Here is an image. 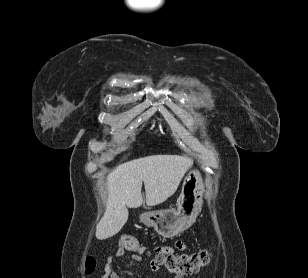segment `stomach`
Returning a JSON list of instances; mask_svg holds the SVG:
<instances>
[{
  "label": "stomach",
  "mask_w": 308,
  "mask_h": 278,
  "mask_svg": "<svg viewBox=\"0 0 308 278\" xmlns=\"http://www.w3.org/2000/svg\"><path fill=\"white\" fill-rule=\"evenodd\" d=\"M204 183L199 171L192 170L185 177L178 198L177 210L149 211L140 215V222L153 227L162 237H174L188 229L201 211Z\"/></svg>",
  "instance_id": "0dacf381"
}]
</instances>
